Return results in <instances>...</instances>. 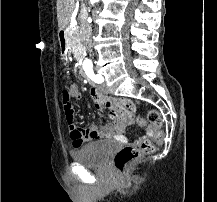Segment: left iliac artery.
Returning <instances> with one entry per match:
<instances>
[{"mask_svg": "<svg viewBox=\"0 0 217 202\" xmlns=\"http://www.w3.org/2000/svg\"><path fill=\"white\" fill-rule=\"evenodd\" d=\"M92 75L90 76V79L96 83H102L104 81L103 77L100 75H95L93 70H91Z\"/></svg>", "mask_w": 217, "mask_h": 202, "instance_id": "left-iliac-artery-1", "label": "left iliac artery"}]
</instances>
